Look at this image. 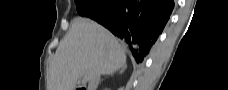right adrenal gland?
I'll list each match as a JSON object with an SVG mask.
<instances>
[{
	"mask_svg": "<svg viewBox=\"0 0 228 90\" xmlns=\"http://www.w3.org/2000/svg\"><path fill=\"white\" fill-rule=\"evenodd\" d=\"M125 68H126V66H124V67L121 69V72H124ZM113 74H114V72L111 73V74H108V75H113Z\"/></svg>",
	"mask_w": 228,
	"mask_h": 90,
	"instance_id": "obj_1",
	"label": "right adrenal gland"
}]
</instances>
